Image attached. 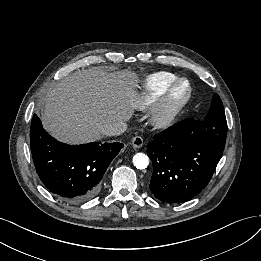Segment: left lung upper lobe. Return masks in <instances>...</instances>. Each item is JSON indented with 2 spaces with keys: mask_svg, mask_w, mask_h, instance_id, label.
Listing matches in <instances>:
<instances>
[{
  "mask_svg": "<svg viewBox=\"0 0 261 261\" xmlns=\"http://www.w3.org/2000/svg\"><path fill=\"white\" fill-rule=\"evenodd\" d=\"M204 140L224 150L227 135V122L221 99L213 96L209 114L202 121Z\"/></svg>",
  "mask_w": 261,
  "mask_h": 261,
  "instance_id": "5c2ea615",
  "label": "left lung upper lobe"
}]
</instances>
